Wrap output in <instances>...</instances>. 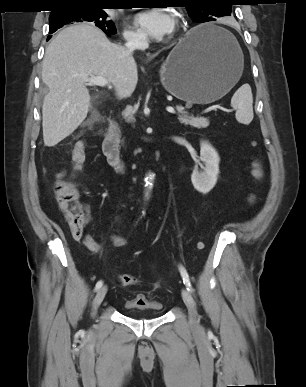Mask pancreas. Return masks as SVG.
<instances>
[{
  "label": "pancreas",
  "instance_id": "pancreas-1",
  "mask_svg": "<svg viewBox=\"0 0 306 387\" xmlns=\"http://www.w3.org/2000/svg\"><path fill=\"white\" fill-rule=\"evenodd\" d=\"M177 111L181 114L178 117V120L180 123L184 125H190L191 127L201 129V128H206L209 126V121L207 119V124H202V117H193V116H188L187 112L184 110V107L177 105L176 106ZM206 119V118H205Z\"/></svg>",
  "mask_w": 306,
  "mask_h": 387
}]
</instances>
